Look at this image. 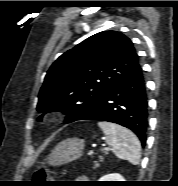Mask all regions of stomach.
I'll return each instance as SVG.
<instances>
[{
  "label": "stomach",
  "mask_w": 178,
  "mask_h": 186,
  "mask_svg": "<svg viewBox=\"0 0 178 186\" xmlns=\"http://www.w3.org/2000/svg\"><path fill=\"white\" fill-rule=\"evenodd\" d=\"M84 150V141L78 138H69L60 142L50 153L47 163L51 166L70 163L81 157Z\"/></svg>",
  "instance_id": "0dacf381"
}]
</instances>
